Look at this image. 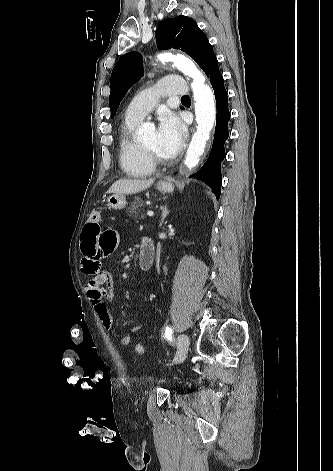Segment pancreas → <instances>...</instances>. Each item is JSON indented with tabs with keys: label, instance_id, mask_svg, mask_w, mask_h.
Listing matches in <instances>:
<instances>
[{
	"label": "pancreas",
	"instance_id": "pancreas-1",
	"mask_svg": "<svg viewBox=\"0 0 333 471\" xmlns=\"http://www.w3.org/2000/svg\"><path fill=\"white\" fill-rule=\"evenodd\" d=\"M143 206V201L142 200H139L137 199L135 202H133L131 204V206L129 207V210H130V215H132L133 213H135V217L137 218L138 217V214H136V210H138L139 207ZM141 217H143V215H141Z\"/></svg>",
	"mask_w": 333,
	"mask_h": 471
}]
</instances>
